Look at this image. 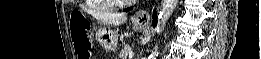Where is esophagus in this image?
Here are the masks:
<instances>
[{"label":"esophagus","mask_w":261,"mask_h":59,"mask_svg":"<svg viewBox=\"0 0 261 59\" xmlns=\"http://www.w3.org/2000/svg\"><path fill=\"white\" fill-rule=\"evenodd\" d=\"M133 21L136 24L146 26L150 22V13L147 9H140L138 10L134 16H133Z\"/></svg>","instance_id":"1"}]
</instances>
